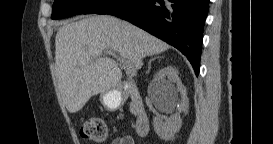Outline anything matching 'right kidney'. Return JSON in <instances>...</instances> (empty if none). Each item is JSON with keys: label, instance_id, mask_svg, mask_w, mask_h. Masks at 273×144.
Returning <instances> with one entry per match:
<instances>
[{"label": "right kidney", "instance_id": "ca27d5eb", "mask_svg": "<svg viewBox=\"0 0 273 144\" xmlns=\"http://www.w3.org/2000/svg\"><path fill=\"white\" fill-rule=\"evenodd\" d=\"M153 82L160 89L159 98L162 103H167L170 99H176L177 92L179 90L186 98V89L184 88L178 77L177 70L171 66L159 70L155 74ZM172 83L177 84V89L174 87ZM180 113L181 110L171 115L169 118H163L160 116L153 118V127L156 134L160 137V139L169 141L174 138L175 133L178 132L182 126V119Z\"/></svg>", "mask_w": 273, "mask_h": 144}]
</instances>
